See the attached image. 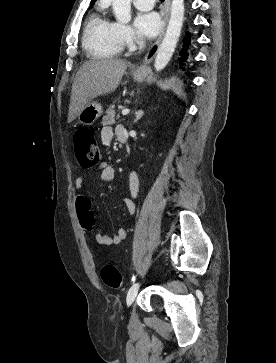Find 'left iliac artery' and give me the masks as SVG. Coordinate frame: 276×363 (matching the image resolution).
Listing matches in <instances>:
<instances>
[{"label": "left iliac artery", "mask_w": 276, "mask_h": 363, "mask_svg": "<svg viewBox=\"0 0 276 363\" xmlns=\"http://www.w3.org/2000/svg\"><path fill=\"white\" fill-rule=\"evenodd\" d=\"M135 278H136L135 276H133V277H132V281H133V282L135 281Z\"/></svg>", "instance_id": "left-iliac-artery-1"}]
</instances>
